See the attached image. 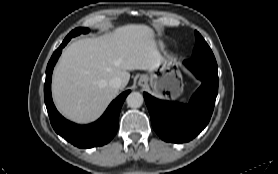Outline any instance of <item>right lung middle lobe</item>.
Returning <instances> with one entry per match:
<instances>
[{
	"label": "right lung middle lobe",
	"mask_w": 278,
	"mask_h": 174,
	"mask_svg": "<svg viewBox=\"0 0 278 174\" xmlns=\"http://www.w3.org/2000/svg\"><path fill=\"white\" fill-rule=\"evenodd\" d=\"M89 32V29L88 28H76L74 30H72L67 36H66V39L67 40H70L72 37H75L77 35H80V34H86Z\"/></svg>",
	"instance_id": "1"
}]
</instances>
